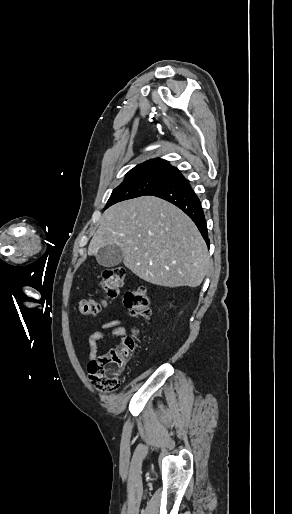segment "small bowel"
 Returning a JSON list of instances; mask_svg holds the SVG:
<instances>
[{
	"instance_id": "1",
	"label": "small bowel",
	"mask_w": 292,
	"mask_h": 514,
	"mask_svg": "<svg viewBox=\"0 0 292 514\" xmlns=\"http://www.w3.org/2000/svg\"><path fill=\"white\" fill-rule=\"evenodd\" d=\"M123 323V319H113L105 322L99 330L90 334L88 345L89 359L91 361L95 360L97 357L99 342L113 337L126 338L128 336V331Z\"/></svg>"
}]
</instances>
